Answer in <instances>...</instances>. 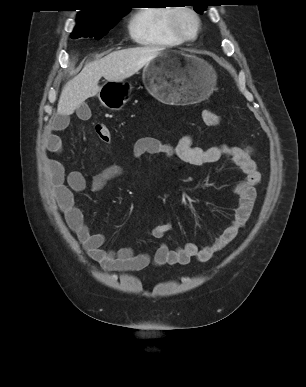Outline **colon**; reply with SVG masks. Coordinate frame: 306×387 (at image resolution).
Segmentation results:
<instances>
[{"label": "colon", "instance_id": "colon-1", "mask_svg": "<svg viewBox=\"0 0 306 387\" xmlns=\"http://www.w3.org/2000/svg\"><path fill=\"white\" fill-rule=\"evenodd\" d=\"M203 119L207 125L216 126L220 123L221 117L211 110H205L203 112ZM95 131L102 142L109 143L111 141L112 134L107 125L102 123L97 124Z\"/></svg>", "mask_w": 306, "mask_h": 387}]
</instances>
